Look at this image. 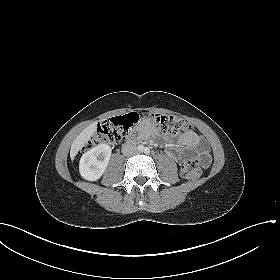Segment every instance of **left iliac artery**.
Here are the masks:
<instances>
[{"mask_svg":"<svg viewBox=\"0 0 280 280\" xmlns=\"http://www.w3.org/2000/svg\"><path fill=\"white\" fill-rule=\"evenodd\" d=\"M144 152L148 154V153L150 152V149H149L148 147H146V148L144 149Z\"/></svg>","mask_w":280,"mask_h":280,"instance_id":"obj_1","label":"left iliac artery"}]
</instances>
